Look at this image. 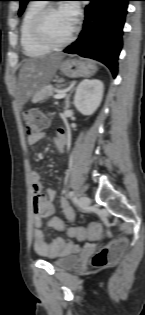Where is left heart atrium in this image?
I'll return each mask as SVG.
<instances>
[{
    "mask_svg": "<svg viewBox=\"0 0 145 315\" xmlns=\"http://www.w3.org/2000/svg\"><path fill=\"white\" fill-rule=\"evenodd\" d=\"M61 9L68 15L73 24H75L79 14V8L77 4L75 3L64 4Z\"/></svg>",
    "mask_w": 145,
    "mask_h": 315,
    "instance_id": "1",
    "label": "left heart atrium"
}]
</instances>
